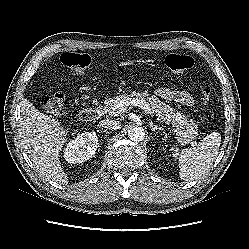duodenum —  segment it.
I'll return each mask as SVG.
<instances>
[{"mask_svg": "<svg viewBox=\"0 0 249 249\" xmlns=\"http://www.w3.org/2000/svg\"><path fill=\"white\" fill-rule=\"evenodd\" d=\"M80 117L85 122L95 121L99 117V109L97 106L84 108L80 113Z\"/></svg>", "mask_w": 249, "mask_h": 249, "instance_id": "obj_1", "label": "duodenum"}]
</instances>
